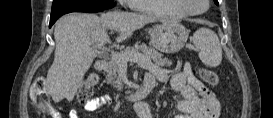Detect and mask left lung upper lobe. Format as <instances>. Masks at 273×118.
<instances>
[{
  "instance_id": "obj_1",
  "label": "left lung upper lobe",
  "mask_w": 273,
  "mask_h": 118,
  "mask_svg": "<svg viewBox=\"0 0 273 118\" xmlns=\"http://www.w3.org/2000/svg\"><path fill=\"white\" fill-rule=\"evenodd\" d=\"M214 2L218 5V1L217 0H214Z\"/></svg>"
}]
</instances>
